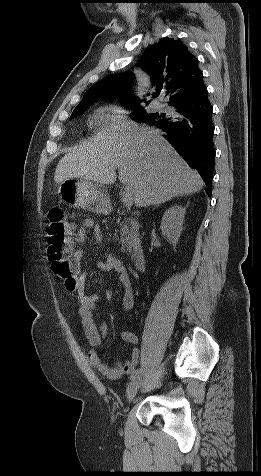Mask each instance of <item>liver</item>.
I'll use <instances>...</instances> for the list:
<instances>
[{
  "instance_id": "obj_1",
  "label": "liver",
  "mask_w": 261,
  "mask_h": 476,
  "mask_svg": "<svg viewBox=\"0 0 261 476\" xmlns=\"http://www.w3.org/2000/svg\"><path fill=\"white\" fill-rule=\"evenodd\" d=\"M118 179L129 188L136 207L159 205L198 192L204 182L160 130L118 120L70 150L58 163L54 181L80 178L97 186Z\"/></svg>"
}]
</instances>
